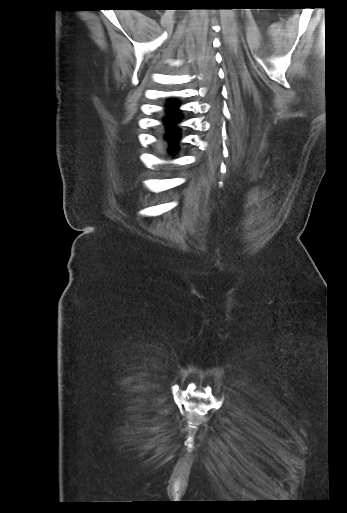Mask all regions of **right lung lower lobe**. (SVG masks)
Returning <instances> with one entry per match:
<instances>
[{
    "instance_id": "obj_1",
    "label": "right lung lower lobe",
    "mask_w": 347,
    "mask_h": 513,
    "mask_svg": "<svg viewBox=\"0 0 347 513\" xmlns=\"http://www.w3.org/2000/svg\"><path fill=\"white\" fill-rule=\"evenodd\" d=\"M180 103L176 101H169L167 105V117L164 118L166 135L165 139L169 143V151H176L178 149V140L181 137L180 129L177 127L179 116Z\"/></svg>"
}]
</instances>
